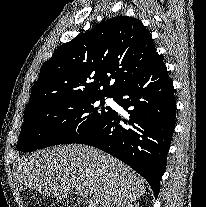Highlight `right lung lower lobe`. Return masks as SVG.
<instances>
[{
  "instance_id": "obj_1",
  "label": "right lung lower lobe",
  "mask_w": 206,
  "mask_h": 207,
  "mask_svg": "<svg viewBox=\"0 0 206 207\" xmlns=\"http://www.w3.org/2000/svg\"><path fill=\"white\" fill-rule=\"evenodd\" d=\"M113 97L127 111L128 119L113 110L75 143L97 147L129 165L148 181L157 198L176 114L173 84L161 57Z\"/></svg>"
}]
</instances>
